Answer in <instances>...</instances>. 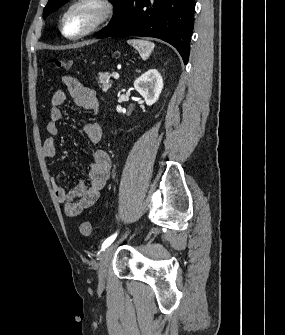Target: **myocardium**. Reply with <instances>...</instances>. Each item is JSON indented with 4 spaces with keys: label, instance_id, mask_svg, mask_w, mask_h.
I'll use <instances>...</instances> for the list:
<instances>
[{
    "label": "myocardium",
    "instance_id": "1",
    "mask_svg": "<svg viewBox=\"0 0 285 335\" xmlns=\"http://www.w3.org/2000/svg\"><path fill=\"white\" fill-rule=\"evenodd\" d=\"M84 6L94 7L99 11L98 17L88 26L83 27L79 32L72 35L73 38L93 33L100 29L114 15V5L111 1H75L68 11V19L74 16L75 11Z\"/></svg>",
    "mask_w": 285,
    "mask_h": 335
}]
</instances>
